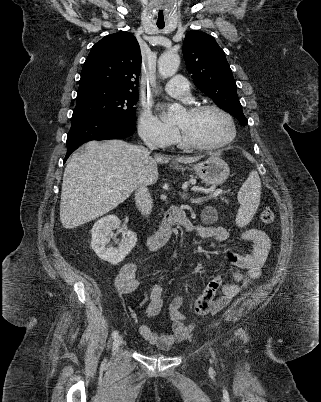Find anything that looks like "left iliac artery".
Segmentation results:
<instances>
[{"mask_svg":"<svg viewBox=\"0 0 321 402\" xmlns=\"http://www.w3.org/2000/svg\"><path fill=\"white\" fill-rule=\"evenodd\" d=\"M211 354H212V357L215 358V355H214V352H213V351H211Z\"/></svg>","mask_w":321,"mask_h":402,"instance_id":"44dca946","label":"left iliac artery"}]
</instances>
